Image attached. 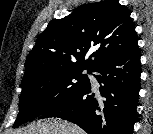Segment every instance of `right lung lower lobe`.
Here are the masks:
<instances>
[{
    "instance_id": "right-lung-lower-lobe-1",
    "label": "right lung lower lobe",
    "mask_w": 153,
    "mask_h": 134,
    "mask_svg": "<svg viewBox=\"0 0 153 134\" xmlns=\"http://www.w3.org/2000/svg\"><path fill=\"white\" fill-rule=\"evenodd\" d=\"M140 51L136 44L110 56L92 72L99 94L89 83L41 118L57 117L77 124L88 134H132L140 90Z\"/></svg>"
}]
</instances>
